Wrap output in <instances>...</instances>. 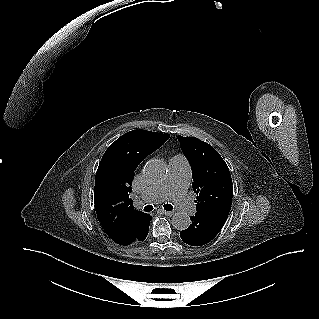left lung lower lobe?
I'll return each instance as SVG.
<instances>
[{"mask_svg": "<svg viewBox=\"0 0 319 319\" xmlns=\"http://www.w3.org/2000/svg\"><path fill=\"white\" fill-rule=\"evenodd\" d=\"M228 214L218 212L197 213L191 216L192 224L180 232L188 245L201 246L210 242L221 230Z\"/></svg>", "mask_w": 319, "mask_h": 319, "instance_id": "1", "label": "left lung lower lobe"}]
</instances>
